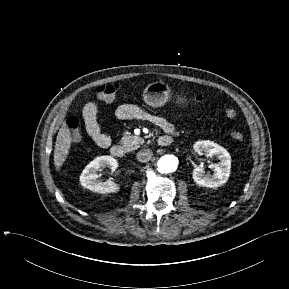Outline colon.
I'll list each match as a JSON object with an SVG mask.
<instances>
[{
    "mask_svg": "<svg viewBox=\"0 0 289 289\" xmlns=\"http://www.w3.org/2000/svg\"><path fill=\"white\" fill-rule=\"evenodd\" d=\"M119 90V85L117 83H109L106 85L99 86L97 88V96L99 99L103 101H112ZM195 102H201L203 97L201 95H195L193 97ZM226 116L229 119H233L237 116V113L234 109L229 108L226 110ZM67 125L71 130L72 133V140L73 142L79 143L82 140V132H81V120L78 117H70L67 120ZM231 136L236 141H241L243 139V134L239 131H233Z\"/></svg>",
    "mask_w": 289,
    "mask_h": 289,
    "instance_id": "5ec220e1",
    "label": "colon"
}]
</instances>
